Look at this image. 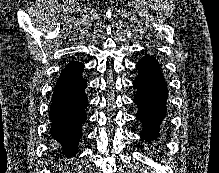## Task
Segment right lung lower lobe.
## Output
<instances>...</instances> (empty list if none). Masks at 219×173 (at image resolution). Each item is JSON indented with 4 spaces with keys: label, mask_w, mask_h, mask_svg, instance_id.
I'll return each instance as SVG.
<instances>
[{
    "label": "right lung lower lobe",
    "mask_w": 219,
    "mask_h": 173,
    "mask_svg": "<svg viewBox=\"0 0 219 173\" xmlns=\"http://www.w3.org/2000/svg\"><path fill=\"white\" fill-rule=\"evenodd\" d=\"M83 64L72 61L61 72L51 100L49 119L51 135L68 157L77 152L82 137L81 126L86 121V80L82 77Z\"/></svg>",
    "instance_id": "obj_1"
}]
</instances>
